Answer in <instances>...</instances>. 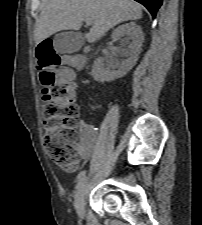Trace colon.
Masks as SVG:
<instances>
[{"label": "colon", "instance_id": "1", "mask_svg": "<svg viewBox=\"0 0 202 225\" xmlns=\"http://www.w3.org/2000/svg\"><path fill=\"white\" fill-rule=\"evenodd\" d=\"M56 38L39 42L36 56L39 59L40 80L43 85L44 146L49 158L64 170H73L79 162L77 126L79 108L74 103L72 74L57 73L55 68L63 63L56 54ZM71 57V53L65 55Z\"/></svg>", "mask_w": 202, "mask_h": 225}]
</instances>
